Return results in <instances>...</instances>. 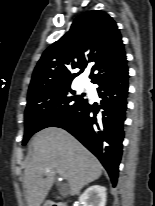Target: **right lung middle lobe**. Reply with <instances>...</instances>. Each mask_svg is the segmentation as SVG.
Returning a JSON list of instances; mask_svg holds the SVG:
<instances>
[{
    "label": "right lung middle lobe",
    "mask_w": 155,
    "mask_h": 206,
    "mask_svg": "<svg viewBox=\"0 0 155 206\" xmlns=\"http://www.w3.org/2000/svg\"><path fill=\"white\" fill-rule=\"evenodd\" d=\"M74 94L70 85H63L28 96L23 145L34 133L58 123L87 101L85 93Z\"/></svg>",
    "instance_id": "right-lung-middle-lobe-1"
}]
</instances>
